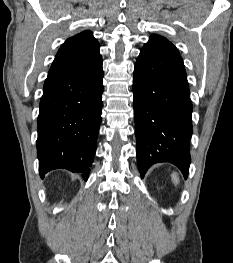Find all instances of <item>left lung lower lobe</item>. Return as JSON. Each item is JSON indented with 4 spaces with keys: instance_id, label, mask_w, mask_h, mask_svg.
Returning <instances> with one entry per match:
<instances>
[{
    "instance_id": "0a47b994",
    "label": "left lung lower lobe",
    "mask_w": 233,
    "mask_h": 263,
    "mask_svg": "<svg viewBox=\"0 0 233 263\" xmlns=\"http://www.w3.org/2000/svg\"><path fill=\"white\" fill-rule=\"evenodd\" d=\"M137 161L142 176L158 162L175 164L187 178L192 135V102L177 48L150 37L137 58L133 76Z\"/></svg>"
}]
</instances>
